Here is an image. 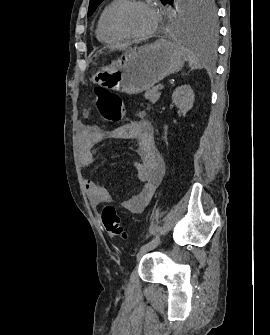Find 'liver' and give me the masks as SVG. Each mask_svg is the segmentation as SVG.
I'll return each instance as SVG.
<instances>
[{
	"instance_id": "6515ba94",
	"label": "liver",
	"mask_w": 270,
	"mask_h": 335,
	"mask_svg": "<svg viewBox=\"0 0 270 335\" xmlns=\"http://www.w3.org/2000/svg\"><path fill=\"white\" fill-rule=\"evenodd\" d=\"M129 44H123V46H121V48H128Z\"/></svg>"
}]
</instances>
